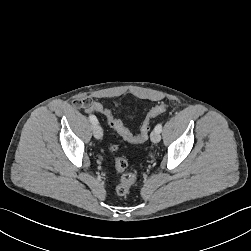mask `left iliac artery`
<instances>
[{
    "mask_svg": "<svg viewBox=\"0 0 251 251\" xmlns=\"http://www.w3.org/2000/svg\"><path fill=\"white\" fill-rule=\"evenodd\" d=\"M155 130L160 133L162 131V124L161 123L157 124Z\"/></svg>",
    "mask_w": 251,
    "mask_h": 251,
    "instance_id": "44dca946",
    "label": "left iliac artery"
}]
</instances>
